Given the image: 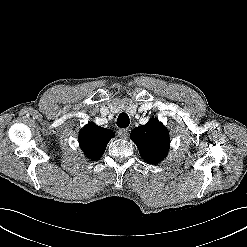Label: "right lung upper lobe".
I'll return each instance as SVG.
<instances>
[{
	"mask_svg": "<svg viewBox=\"0 0 247 247\" xmlns=\"http://www.w3.org/2000/svg\"><path fill=\"white\" fill-rule=\"evenodd\" d=\"M112 137V130L89 123L79 133V144L89 159L97 160L103 155Z\"/></svg>",
	"mask_w": 247,
	"mask_h": 247,
	"instance_id": "cb5924a9",
	"label": "right lung upper lobe"
}]
</instances>
